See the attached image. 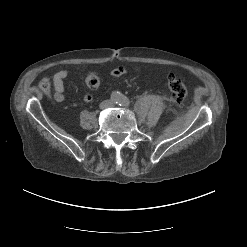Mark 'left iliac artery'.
<instances>
[{"label":"left iliac artery","instance_id":"1","mask_svg":"<svg viewBox=\"0 0 247 247\" xmlns=\"http://www.w3.org/2000/svg\"><path fill=\"white\" fill-rule=\"evenodd\" d=\"M119 105H121V106H129L130 105V101L126 96H121L120 100H119Z\"/></svg>","mask_w":247,"mask_h":247}]
</instances>
